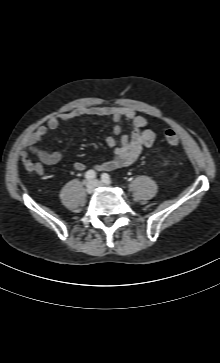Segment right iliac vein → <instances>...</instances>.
I'll return each mask as SVG.
<instances>
[{"instance_id":"63e3f726","label":"right iliac vein","mask_w":220,"mask_h":363,"mask_svg":"<svg viewBox=\"0 0 220 363\" xmlns=\"http://www.w3.org/2000/svg\"><path fill=\"white\" fill-rule=\"evenodd\" d=\"M95 187H96V184H95V182L93 180L87 181V183H86V192L88 194H92L94 192V190H95Z\"/></svg>"}]
</instances>
